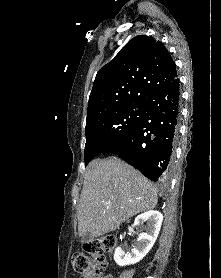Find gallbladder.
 Returning a JSON list of instances; mask_svg holds the SVG:
<instances>
[{
    "mask_svg": "<svg viewBox=\"0 0 221 278\" xmlns=\"http://www.w3.org/2000/svg\"><path fill=\"white\" fill-rule=\"evenodd\" d=\"M93 240H94V237L90 233H87L86 235H84L82 237L81 241H82V243H89V242H91Z\"/></svg>",
    "mask_w": 221,
    "mask_h": 278,
    "instance_id": "1",
    "label": "gallbladder"
}]
</instances>
